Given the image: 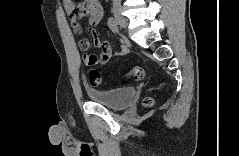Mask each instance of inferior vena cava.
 Wrapping results in <instances>:
<instances>
[{"mask_svg": "<svg viewBox=\"0 0 239 156\" xmlns=\"http://www.w3.org/2000/svg\"><path fill=\"white\" fill-rule=\"evenodd\" d=\"M114 2H120V0H114Z\"/></svg>", "mask_w": 239, "mask_h": 156, "instance_id": "602c4592", "label": "inferior vena cava"}]
</instances>
